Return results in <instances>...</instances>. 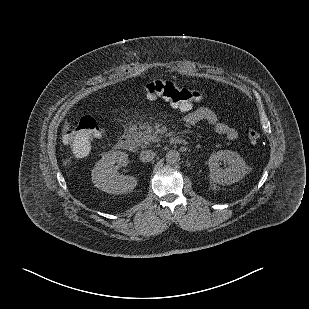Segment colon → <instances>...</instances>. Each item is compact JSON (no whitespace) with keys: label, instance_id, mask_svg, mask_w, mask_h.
<instances>
[{"label":"colon","instance_id":"5ec220e1","mask_svg":"<svg viewBox=\"0 0 309 309\" xmlns=\"http://www.w3.org/2000/svg\"><path fill=\"white\" fill-rule=\"evenodd\" d=\"M145 92L148 97H163L170 100L172 103L193 104L202 99V94L194 88L178 87L168 81H151L146 84ZM102 128L92 118H82L74 129L76 134L75 153L83 154L88 152L90 141L100 136ZM248 136L252 140H257L260 137L259 131L255 125H249Z\"/></svg>","mask_w":309,"mask_h":309}]
</instances>
